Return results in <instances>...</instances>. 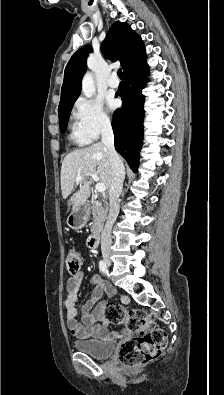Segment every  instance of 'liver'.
<instances>
[{
  "label": "liver",
  "instance_id": "obj_1",
  "mask_svg": "<svg viewBox=\"0 0 224 395\" xmlns=\"http://www.w3.org/2000/svg\"><path fill=\"white\" fill-rule=\"evenodd\" d=\"M85 173L96 174L100 183L106 185L109 190L111 185V165L106 146L102 142L94 143L88 147L77 149L67 154L61 166V191L63 198H67L72 192L75 183H79V189L68 200V206L72 210L82 205L90 196L91 176L84 175L80 182L76 177Z\"/></svg>",
  "mask_w": 224,
  "mask_h": 395
}]
</instances>
